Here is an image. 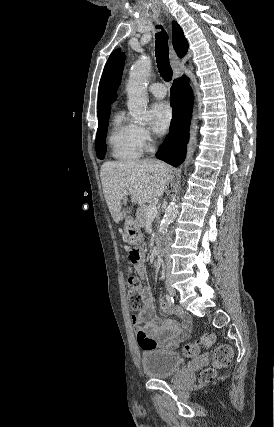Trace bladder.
Wrapping results in <instances>:
<instances>
[{
	"label": "bladder",
	"mask_w": 274,
	"mask_h": 427,
	"mask_svg": "<svg viewBox=\"0 0 274 427\" xmlns=\"http://www.w3.org/2000/svg\"><path fill=\"white\" fill-rule=\"evenodd\" d=\"M140 363L144 374L154 379L171 378L182 368L179 353L171 350L146 349L140 355Z\"/></svg>",
	"instance_id": "bladder-1"
}]
</instances>
